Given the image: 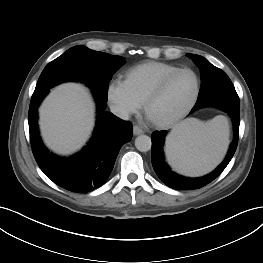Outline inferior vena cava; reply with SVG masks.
Listing matches in <instances>:
<instances>
[{
    "mask_svg": "<svg viewBox=\"0 0 263 263\" xmlns=\"http://www.w3.org/2000/svg\"><path fill=\"white\" fill-rule=\"evenodd\" d=\"M110 110H111V112L114 115H116L117 117H119V118H121L123 120H128L129 119L128 112L125 109H123V108H121L119 106H115V105L110 106Z\"/></svg>",
    "mask_w": 263,
    "mask_h": 263,
    "instance_id": "1",
    "label": "inferior vena cava"
}]
</instances>
